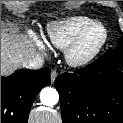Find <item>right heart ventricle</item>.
I'll return each mask as SVG.
<instances>
[{
	"label": "right heart ventricle",
	"mask_w": 123,
	"mask_h": 123,
	"mask_svg": "<svg viewBox=\"0 0 123 123\" xmlns=\"http://www.w3.org/2000/svg\"><path fill=\"white\" fill-rule=\"evenodd\" d=\"M94 22L93 19L81 15L52 21L46 26L45 41L50 46L65 50L81 31Z\"/></svg>",
	"instance_id": "right-heart-ventricle-1"
}]
</instances>
